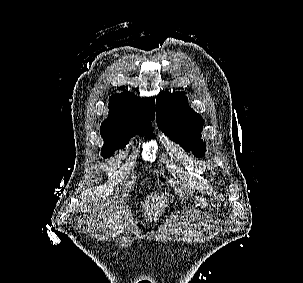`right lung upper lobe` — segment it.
Segmentation results:
<instances>
[{
  "instance_id": "right-lung-upper-lobe-1",
  "label": "right lung upper lobe",
  "mask_w": 303,
  "mask_h": 283,
  "mask_svg": "<svg viewBox=\"0 0 303 283\" xmlns=\"http://www.w3.org/2000/svg\"><path fill=\"white\" fill-rule=\"evenodd\" d=\"M109 116L101 125V133H127L141 127H151L154 119V99L135 100L133 94L124 91L110 97ZM153 129V128H152Z\"/></svg>"
}]
</instances>
